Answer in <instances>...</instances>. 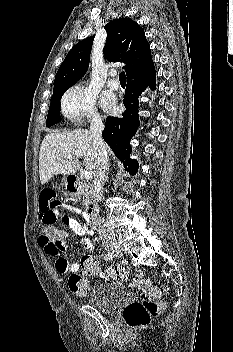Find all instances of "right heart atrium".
<instances>
[{"label":"right heart atrium","instance_id":"1","mask_svg":"<svg viewBox=\"0 0 233 352\" xmlns=\"http://www.w3.org/2000/svg\"><path fill=\"white\" fill-rule=\"evenodd\" d=\"M61 112L76 123L85 119H99L95 108V94L82 85H75L66 91L61 99Z\"/></svg>","mask_w":233,"mask_h":352}]
</instances>
